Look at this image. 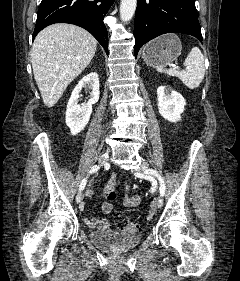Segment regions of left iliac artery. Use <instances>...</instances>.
I'll return each instance as SVG.
<instances>
[{
	"label": "left iliac artery",
	"instance_id": "obj_1",
	"mask_svg": "<svg viewBox=\"0 0 240 281\" xmlns=\"http://www.w3.org/2000/svg\"><path fill=\"white\" fill-rule=\"evenodd\" d=\"M145 173L154 175L158 178L159 183H160V194L163 196L165 193V184H164L162 177L158 174V172L156 170H153V169H147V170H145Z\"/></svg>",
	"mask_w": 240,
	"mask_h": 281
}]
</instances>
